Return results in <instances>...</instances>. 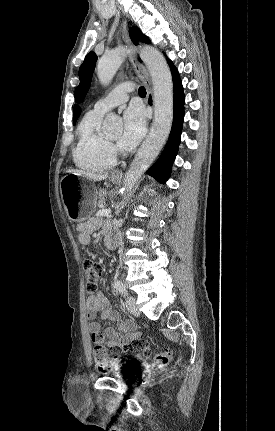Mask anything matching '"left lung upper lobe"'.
Segmentation results:
<instances>
[{
  "mask_svg": "<svg viewBox=\"0 0 275 431\" xmlns=\"http://www.w3.org/2000/svg\"><path fill=\"white\" fill-rule=\"evenodd\" d=\"M134 31L140 41L145 43L150 42L148 37L143 35L137 27L134 28ZM96 61H97L96 54L94 52H90L86 55L84 62L80 66V69H79L80 84L77 86L74 93V96L77 102H81L83 100L85 94L89 89Z\"/></svg>",
  "mask_w": 275,
  "mask_h": 431,
  "instance_id": "1",
  "label": "left lung upper lobe"
}]
</instances>
